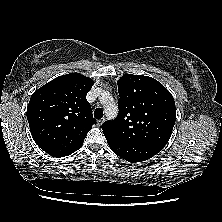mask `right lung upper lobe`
<instances>
[{"label": "right lung upper lobe", "mask_w": 222, "mask_h": 222, "mask_svg": "<svg viewBox=\"0 0 222 222\" xmlns=\"http://www.w3.org/2000/svg\"><path fill=\"white\" fill-rule=\"evenodd\" d=\"M93 81L79 73L53 79L36 90L27 107L35 143L53 157L77 151L96 120L86 95Z\"/></svg>", "instance_id": "1"}]
</instances>
